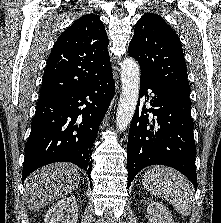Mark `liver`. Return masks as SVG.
Masks as SVG:
<instances>
[{
    "label": "liver",
    "mask_w": 221,
    "mask_h": 223,
    "mask_svg": "<svg viewBox=\"0 0 221 223\" xmlns=\"http://www.w3.org/2000/svg\"><path fill=\"white\" fill-rule=\"evenodd\" d=\"M79 182L80 174L70 163L50 164L36 170L25 181V196L30 211L36 212L70 194Z\"/></svg>",
    "instance_id": "obj_1"
}]
</instances>
